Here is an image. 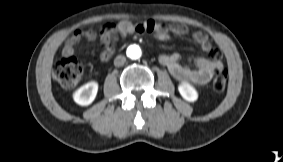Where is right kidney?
I'll use <instances>...</instances> for the list:
<instances>
[{"instance_id":"ca27d5eb","label":"right kidney","mask_w":283,"mask_h":162,"mask_svg":"<svg viewBox=\"0 0 283 162\" xmlns=\"http://www.w3.org/2000/svg\"><path fill=\"white\" fill-rule=\"evenodd\" d=\"M98 91V83L95 81H91L80 87L75 93L73 94L74 101L81 105V106H87L90 105Z\"/></svg>"}]
</instances>
